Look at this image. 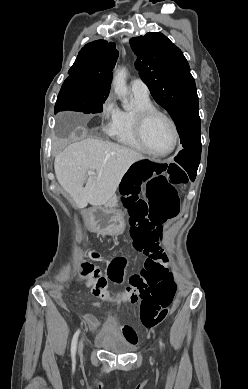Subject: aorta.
<instances>
[{
	"label": "aorta",
	"mask_w": 248,
	"mask_h": 389,
	"mask_svg": "<svg viewBox=\"0 0 248 389\" xmlns=\"http://www.w3.org/2000/svg\"><path fill=\"white\" fill-rule=\"evenodd\" d=\"M127 71L125 68L118 70L113 78V87L116 95L122 99L123 107L127 109L128 104V88L126 84Z\"/></svg>",
	"instance_id": "aorta-1"
}]
</instances>
